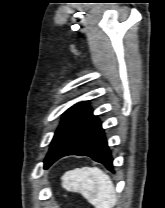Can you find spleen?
Returning <instances> with one entry per match:
<instances>
[{"instance_id":"3e777b00","label":"spleen","mask_w":165,"mask_h":208,"mask_svg":"<svg viewBox=\"0 0 165 208\" xmlns=\"http://www.w3.org/2000/svg\"><path fill=\"white\" fill-rule=\"evenodd\" d=\"M62 187L80 193L96 208H113L117 201L110 177L97 167H82L66 172L62 176Z\"/></svg>"}]
</instances>
